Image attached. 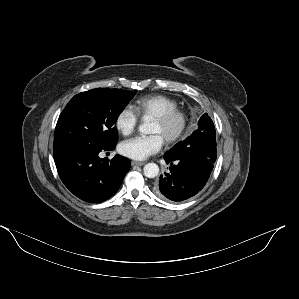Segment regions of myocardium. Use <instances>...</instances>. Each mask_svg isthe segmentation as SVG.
Listing matches in <instances>:
<instances>
[{
  "mask_svg": "<svg viewBox=\"0 0 299 299\" xmlns=\"http://www.w3.org/2000/svg\"><path fill=\"white\" fill-rule=\"evenodd\" d=\"M152 119L162 125H166L172 121L177 122V126L174 131L164 138L165 142L168 144H173L180 140L185 134L188 127L187 113L178 108L163 112L153 117Z\"/></svg>",
  "mask_w": 299,
  "mask_h": 299,
  "instance_id": "f54148a6",
  "label": "myocardium"
}]
</instances>
